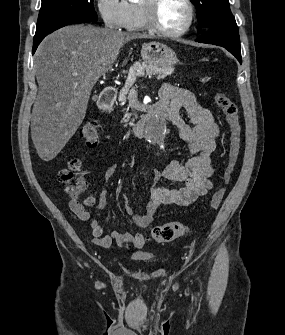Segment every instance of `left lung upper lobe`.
Returning a JSON list of instances; mask_svg holds the SVG:
<instances>
[{
	"mask_svg": "<svg viewBox=\"0 0 285 335\" xmlns=\"http://www.w3.org/2000/svg\"><path fill=\"white\" fill-rule=\"evenodd\" d=\"M196 6L197 20L208 29L217 25L235 24L228 0H190Z\"/></svg>",
	"mask_w": 285,
	"mask_h": 335,
	"instance_id": "left-lung-upper-lobe-1",
	"label": "left lung upper lobe"
}]
</instances>
